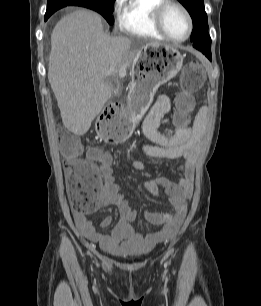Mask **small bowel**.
I'll list each match as a JSON object with an SVG mask.
<instances>
[{
  "label": "small bowel",
  "instance_id": "small-bowel-1",
  "mask_svg": "<svg viewBox=\"0 0 261 306\" xmlns=\"http://www.w3.org/2000/svg\"><path fill=\"white\" fill-rule=\"evenodd\" d=\"M171 110V98L160 95L148 112L142 124V131L148 140L141 146L142 153L153 159L182 160L178 170L182 178L178 183L165 177H157L145 182V189L152 195L163 190L176 206L175 220L155 233L142 235L135 230L132 223L137 218V212L130 206L116 182L113 168L117 162L111 157L101 160L100 170L102 182L98 186V194L94 209L115 205L120 213V220L110 233H102L99 227L107 228L113 222L112 216H106L96 223L88 219L86 212L76 211L74 218L82 235L92 243L98 244L106 253L120 256L128 252H146L159 242L173 239L185 216V201L192 195V169L200 154L204 139L205 111H200L193 124L187 127H177L171 134L159 130L162 118ZM77 157L68 158L64 162L67 173L82 163ZM129 165L136 170H143V162L135 156L130 157ZM145 218L151 225H159L162 216L159 213L146 212Z\"/></svg>",
  "mask_w": 261,
  "mask_h": 306
}]
</instances>
